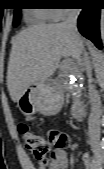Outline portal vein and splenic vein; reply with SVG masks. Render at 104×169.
<instances>
[{"mask_svg":"<svg viewBox=\"0 0 104 169\" xmlns=\"http://www.w3.org/2000/svg\"><path fill=\"white\" fill-rule=\"evenodd\" d=\"M65 67L73 74H75L77 72V66L72 62L66 63Z\"/></svg>","mask_w":104,"mask_h":169,"instance_id":"18ae733b","label":"portal vein and splenic vein"}]
</instances>
